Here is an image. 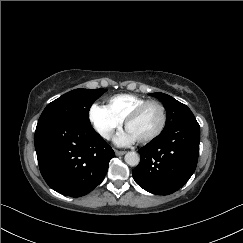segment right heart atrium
I'll return each mask as SVG.
<instances>
[{
    "label": "right heart atrium",
    "instance_id": "obj_1",
    "mask_svg": "<svg viewBox=\"0 0 243 243\" xmlns=\"http://www.w3.org/2000/svg\"><path fill=\"white\" fill-rule=\"evenodd\" d=\"M88 118L95 131L105 139H110L122 125V120L104 105L93 104L89 109Z\"/></svg>",
    "mask_w": 243,
    "mask_h": 243
}]
</instances>
